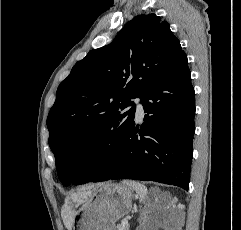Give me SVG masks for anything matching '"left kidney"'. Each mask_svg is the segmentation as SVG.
<instances>
[{
  "instance_id": "1",
  "label": "left kidney",
  "mask_w": 241,
  "mask_h": 230,
  "mask_svg": "<svg viewBox=\"0 0 241 230\" xmlns=\"http://www.w3.org/2000/svg\"><path fill=\"white\" fill-rule=\"evenodd\" d=\"M148 213L144 212V221L140 226L139 230H155L154 226L152 225V221L155 219L152 216L147 217Z\"/></svg>"
}]
</instances>
